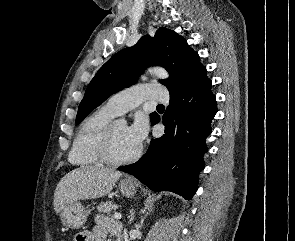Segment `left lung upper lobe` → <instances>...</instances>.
I'll return each mask as SVG.
<instances>
[{
  "mask_svg": "<svg viewBox=\"0 0 295 241\" xmlns=\"http://www.w3.org/2000/svg\"><path fill=\"white\" fill-rule=\"evenodd\" d=\"M160 65L170 74L161 80L170 93L182 91L199 74L206 71L199 55L187 41L165 27L154 37L145 35L133 47L125 48L108 60L89 83L81 101L76 123H80L111 94L135 83L141 72L151 65ZM157 113L150 115L153 123Z\"/></svg>",
  "mask_w": 295,
  "mask_h": 241,
  "instance_id": "left-lung-upper-lobe-1",
  "label": "left lung upper lobe"
}]
</instances>
